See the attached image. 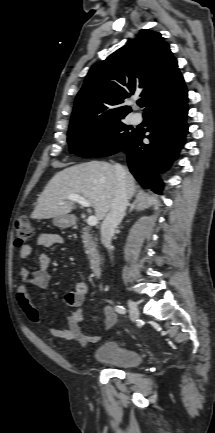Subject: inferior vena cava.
Here are the masks:
<instances>
[{"label": "inferior vena cava", "mask_w": 215, "mask_h": 433, "mask_svg": "<svg viewBox=\"0 0 215 433\" xmlns=\"http://www.w3.org/2000/svg\"><path fill=\"white\" fill-rule=\"evenodd\" d=\"M115 171L118 179V186L115 191L109 212L101 224V242L110 251L112 249L111 240L115 228L120 224L125 216L128 205L127 190L125 186V170L116 164Z\"/></svg>", "instance_id": "obj_1"}]
</instances>
